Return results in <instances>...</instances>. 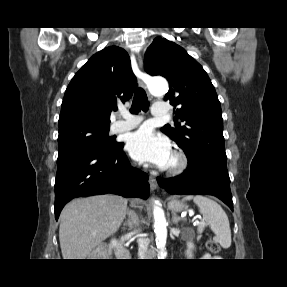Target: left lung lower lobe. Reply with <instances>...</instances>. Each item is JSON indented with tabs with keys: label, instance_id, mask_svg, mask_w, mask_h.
<instances>
[{
	"label": "left lung lower lobe",
	"instance_id": "0a47b994",
	"mask_svg": "<svg viewBox=\"0 0 287 287\" xmlns=\"http://www.w3.org/2000/svg\"><path fill=\"white\" fill-rule=\"evenodd\" d=\"M157 181L171 195H213L233 210L227 166L214 163H204L197 167L188 165L181 175L169 179L158 178Z\"/></svg>",
	"mask_w": 287,
	"mask_h": 287
}]
</instances>
